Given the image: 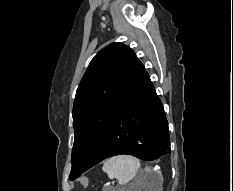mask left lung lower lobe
<instances>
[{"label":"left lung lower lobe","mask_w":233,"mask_h":191,"mask_svg":"<svg viewBox=\"0 0 233 191\" xmlns=\"http://www.w3.org/2000/svg\"><path fill=\"white\" fill-rule=\"evenodd\" d=\"M168 122L147 72H143L120 107L80 174L104 159L133 155L154 160L170 154Z\"/></svg>","instance_id":"1"}]
</instances>
